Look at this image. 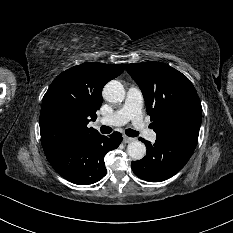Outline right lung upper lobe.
<instances>
[{
  "mask_svg": "<svg viewBox=\"0 0 233 233\" xmlns=\"http://www.w3.org/2000/svg\"><path fill=\"white\" fill-rule=\"evenodd\" d=\"M124 68V64L84 63L58 75L42 100L39 124L43 149L97 134L87 124L97 118L104 85Z\"/></svg>",
  "mask_w": 233,
  "mask_h": 233,
  "instance_id": "right-lung-upper-lobe-1",
  "label": "right lung upper lobe"
}]
</instances>
